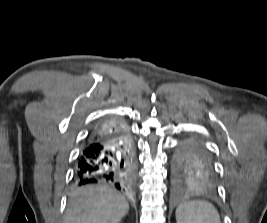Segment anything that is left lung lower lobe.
<instances>
[{
  "label": "left lung lower lobe",
  "mask_w": 267,
  "mask_h": 223,
  "mask_svg": "<svg viewBox=\"0 0 267 223\" xmlns=\"http://www.w3.org/2000/svg\"><path fill=\"white\" fill-rule=\"evenodd\" d=\"M176 176L184 181L183 189H215L214 180L210 178L218 176V171H176Z\"/></svg>",
  "instance_id": "left-lung-lower-lobe-1"
}]
</instances>
